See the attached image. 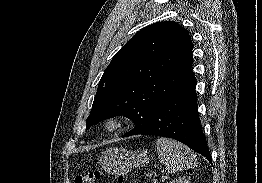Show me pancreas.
I'll use <instances>...</instances> for the list:
<instances>
[{"label": "pancreas", "mask_w": 262, "mask_h": 183, "mask_svg": "<svg viewBox=\"0 0 262 183\" xmlns=\"http://www.w3.org/2000/svg\"><path fill=\"white\" fill-rule=\"evenodd\" d=\"M153 183H158V182H156V181H153Z\"/></svg>", "instance_id": "cf45deb5"}]
</instances>
